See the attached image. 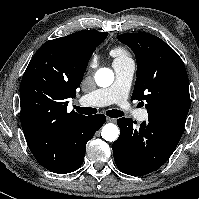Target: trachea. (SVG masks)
<instances>
[{
  "label": "trachea",
  "mask_w": 199,
  "mask_h": 199,
  "mask_svg": "<svg viewBox=\"0 0 199 199\" xmlns=\"http://www.w3.org/2000/svg\"><path fill=\"white\" fill-rule=\"evenodd\" d=\"M76 111L80 114H86V115H91V114H96L97 109L92 108V107H78L74 106ZM106 114L111 117V118H118L124 115V113L120 110H108L106 111Z\"/></svg>",
  "instance_id": "3493384b"
}]
</instances>
